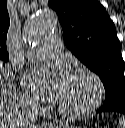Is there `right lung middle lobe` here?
<instances>
[{"instance_id":"dd1d6c3e","label":"right lung middle lobe","mask_w":125,"mask_h":128,"mask_svg":"<svg viewBox=\"0 0 125 128\" xmlns=\"http://www.w3.org/2000/svg\"><path fill=\"white\" fill-rule=\"evenodd\" d=\"M1 61L3 62H7L8 60L7 59H0ZM4 65V64H3Z\"/></svg>"}]
</instances>
